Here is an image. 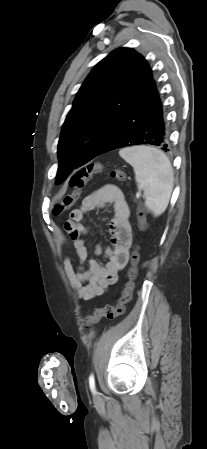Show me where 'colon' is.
Segmentation results:
<instances>
[{
	"label": "colon",
	"instance_id": "1",
	"mask_svg": "<svg viewBox=\"0 0 207 449\" xmlns=\"http://www.w3.org/2000/svg\"><path fill=\"white\" fill-rule=\"evenodd\" d=\"M103 164L100 162H94L87 166L78 169L70 178L69 185L71 191L66 193L60 203L55 207V213L61 214L62 212L72 208L78 198L80 197L82 189L87 182L94 176L103 171ZM110 176L120 182H126L127 177L125 173L120 169H113L110 171ZM138 222L143 225L145 221V211L143 205L138 201L137 209ZM140 261L139 247H135L130 258V268L128 270V281L126 282L122 295L119 298L116 305H106L102 308L96 309L93 314L85 317L84 325L86 328H91L94 324L100 321L102 318L108 320H114L125 312L126 305L132 299V293L135 287V279L138 274V264Z\"/></svg>",
	"mask_w": 207,
	"mask_h": 449
}]
</instances>
